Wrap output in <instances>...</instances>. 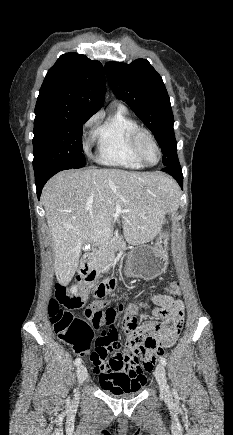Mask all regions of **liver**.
I'll return each instance as SVG.
<instances>
[{"instance_id":"1","label":"liver","mask_w":233,"mask_h":435,"mask_svg":"<svg viewBox=\"0 0 233 435\" xmlns=\"http://www.w3.org/2000/svg\"><path fill=\"white\" fill-rule=\"evenodd\" d=\"M179 197L177 183L162 173L93 168L56 174L44 186L41 199L57 280L71 281L85 243L110 239L119 216L129 244L153 240L162 230L165 214L177 208Z\"/></svg>"}]
</instances>
